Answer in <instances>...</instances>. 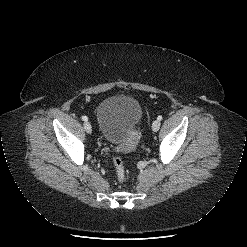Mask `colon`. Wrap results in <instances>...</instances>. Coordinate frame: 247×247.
Masks as SVG:
<instances>
[{"instance_id": "1", "label": "colon", "mask_w": 247, "mask_h": 247, "mask_svg": "<svg viewBox=\"0 0 247 247\" xmlns=\"http://www.w3.org/2000/svg\"><path fill=\"white\" fill-rule=\"evenodd\" d=\"M113 165L115 169V173L119 182H123L125 180L126 171L123 160L116 156L113 158Z\"/></svg>"}]
</instances>
